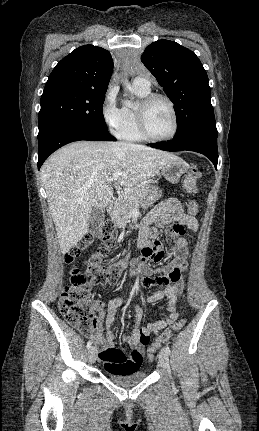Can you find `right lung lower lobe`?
Listing matches in <instances>:
<instances>
[{"label":"right lung lower lobe","mask_w":259,"mask_h":431,"mask_svg":"<svg viewBox=\"0 0 259 431\" xmlns=\"http://www.w3.org/2000/svg\"><path fill=\"white\" fill-rule=\"evenodd\" d=\"M80 140L115 141L108 130H99L73 122H62L48 126L38 134V169L58 148Z\"/></svg>","instance_id":"98d812e1"}]
</instances>
